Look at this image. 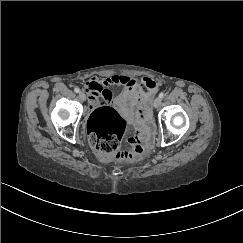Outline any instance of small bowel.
I'll list each match as a JSON object with an SVG mask.
<instances>
[{
  "label": "small bowel",
  "mask_w": 243,
  "mask_h": 243,
  "mask_svg": "<svg viewBox=\"0 0 243 243\" xmlns=\"http://www.w3.org/2000/svg\"><path fill=\"white\" fill-rule=\"evenodd\" d=\"M119 86L121 91L113 97L110 87ZM89 96L90 108L94 109L100 104L113 105L124 117L136 121L135 109L143 99H150L158 89L157 83L144 77L141 82L124 75H113L107 78L92 77L85 84Z\"/></svg>",
  "instance_id": "obj_1"
}]
</instances>
